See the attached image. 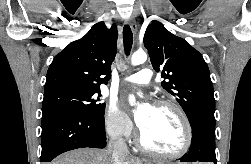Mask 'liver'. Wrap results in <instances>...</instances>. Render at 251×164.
<instances>
[{"mask_svg": "<svg viewBox=\"0 0 251 164\" xmlns=\"http://www.w3.org/2000/svg\"><path fill=\"white\" fill-rule=\"evenodd\" d=\"M50 164H114V161L110 150L82 148L64 153ZM121 164L142 163L135 157L127 156Z\"/></svg>", "mask_w": 251, "mask_h": 164, "instance_id": "liver-1", "label": "liver"}]
</instances>
